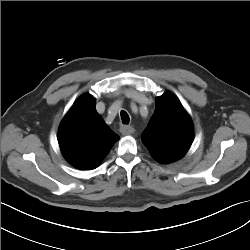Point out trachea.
I'll use <instances>...</instances> for the list:
<instances>
[{"label":"trachea","mask_w":250,"mask_h":250,"mask_svg":"<svg viewBox=\"0 0 250 250\" xmlns=\"http://www.w3.org/2000/svg\"><path fill=\"white\" fill-rule=\"evenodd\" d=\"M120 115H121V119H122L123 124H125V123L127 124L129 122V120H130L127 112H125L124 110H122L121 113H120Z\"/></svg>","instance_id":"1"}]
</instances>
